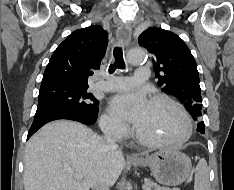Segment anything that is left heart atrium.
<instances>
[{"label":"left heart atrium","instance_id":"1","mask_svg":"<svg viewBox=\"0 0 234 190\" xmlns=\"http://www.w3.org/2000/svg\"><path fill=\"white\" fill-rule=\"evenodd\" d=\"M149 103L143 93H122L111 99L110 109L115 116L137 126L142 121Z\"/></svg>","mask_w":234,"mask_h":190}]
</instances>
